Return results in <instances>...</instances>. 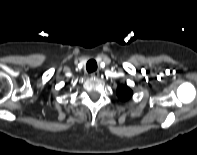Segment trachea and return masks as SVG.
<instances>
[{
	"instance_id": "trachea-1",
	"label": "trachea",
	"mask_w": 197,
	"mask_h": 155,
	"mask_svg": "<svg viewBox=\"0 0 197 155\" xmlns=\"http://www.w3.org/2000/svg\"><path fill=\"white\" fill-rule=\"evenodd\" d=\"M86 69L88 72H94L97 69V63L95 60L91 59L87 62Z\"/></svg>"
}]
</instances>
